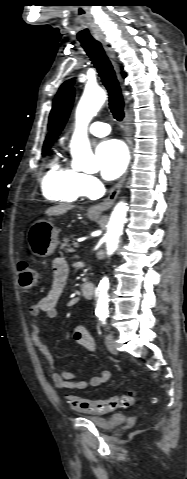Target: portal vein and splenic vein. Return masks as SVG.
I'll list each match as a JSON object with an SVG mask.
<instances>
[{"label":"portal vein and splenic vein","mask_w":187,"mask_h":479,"mask_svg":"<svg viewBox=\"0 0 187 479\" xmlns=\"http://www.w3.org/2000/svg\"><path fill=\"white\" fill-rule=\"evenodd\" d=\"M74 245H75L76 248H79V245L77 243H74Z\"/></svg>","instance_id":"18ae733b"}]
</instances>
